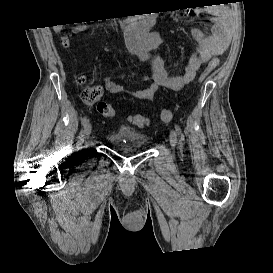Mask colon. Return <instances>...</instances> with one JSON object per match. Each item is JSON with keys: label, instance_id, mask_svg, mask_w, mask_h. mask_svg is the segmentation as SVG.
<instances>
[{"label": "colon", "instance_id": "5ec220e1", "mask_svg": "<svg viewBox=\"0 0 273 273\" xmlns=\"http://www.w3.org/2000/svg\"><path fill=\"white\" fill-rule=\"evenodd\" d=\"M64 43L67 44V39H64ZM218 64V60L216 58L212 59L204 71V73L201 75V80L206 78L216 67ZM78 83L80 85L86 84V79L83 76L78 77ZM101 89L98 86H91L87 85L84 87L81 97L82 100L89 105L96 104L98 112L105 118H113L115 116V108L112 104L106 103V102H99V99L101 97ZM172 112L169 109H163L160 113V118L163 122H170L172 120ZM131 121L139 126L143 127L148 124V119L144 115H134L131 118Z\"/></svg>", "mask_w": 273, "mask_h": 273}]
</instances>
